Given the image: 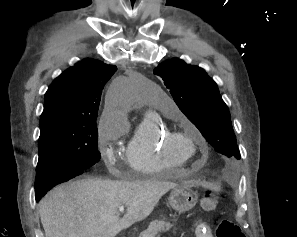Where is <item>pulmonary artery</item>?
Masks as SVG:
<instances>
[{
    "mask_svg": "<svg viewBox=\"0 0 297 237\" xmlns=\"http://www.w3.org/2000/svg\"><path fill=\"white\" fill-rule=\"evenodd\" d=\"M160 105L162 107H166L172 111L175 110V104L174 102L172 101V99L168 98V97H163L161 100H160Z\"/></svg>",
    "mask_w": 297,
    "mask_h": 237,
    "instance_id": "1",
    "label": "pulmonary artery"
}]
</instances>
